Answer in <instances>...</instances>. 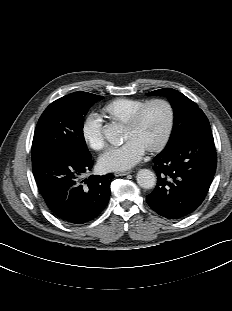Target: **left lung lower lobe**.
<instances>
[{"mask_svg": "<svg viewBox=\"0 0 232 311\" xmlns=\"http://www.w3.org/2000/svg\"><path fill=\"white\" fill-rule=\"evenodd\" d=\"M158 181L146 197L159 215L179 219L204 200L216 170V152L210 126L201 127L154 158Z\"/></svg>", "mask_w": 232, "mask_h": 311, "instance_id": "0a47b994", "label": "left lung lower lobe"}]
</instances>
